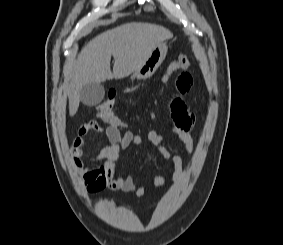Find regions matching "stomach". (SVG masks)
<instances>
[{
  "instance_id": "1",
  "label": "stomach",
  "mask_w": 283,
  "mask_h": 245,
  "mask_svg": "<svg viewBox=\"0 0 283 245\" xmlns=\"http://www.w3.org/2000/svg\"><path fill=\"white\" fill-rule=\"evenodd\" d=\"M168 47L166 43H159L147 57V59L140 65L132 74V79H148L158 69V67L164 61L167 54Z\"/></svg>"
}]
</instances>
